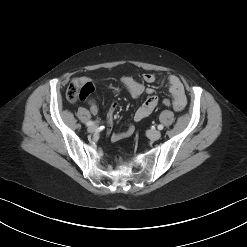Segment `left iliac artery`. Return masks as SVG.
<instances>
[{"label": "left iliac artery", "instance_id": "44dca946", "mask_svg": "<svg viewBox=\"0 0 247 247\" xmlns=\"http://www.w3.org/2000/svg\"><path fill=\"white\" fill-rule=\"evenodd\" d=\"M158 129L159 130H162L163 129V126L162 125H158Z\"/></svg>", "mask_w": 247, "mask_h": 247}]
</instances>
